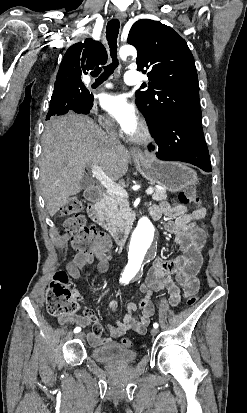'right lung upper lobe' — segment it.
Returning a JSON list of instances; mask_svg holds the SVG:
<instances>
[{
    "instance_id": "obj_1",
    "label": "right lung upper lobe",
    "mask_w": 247,
    "mask_h": 413,
    "mask_svg": "<svg viewBox=\"0 0 247 413\" xmlns=\"http://www.w3.org/2000/svg\"><path fill=\"white\" fill-rule=\"evenodd\" d=\"M107 58L104 46L92 38L76 43L64 55L55 83L81 81L82 73L88 71L99 73V65H104Z\"/></svg>"
}]
</instances>
